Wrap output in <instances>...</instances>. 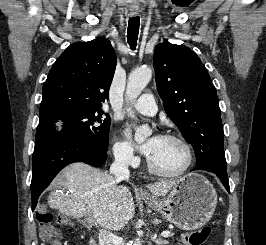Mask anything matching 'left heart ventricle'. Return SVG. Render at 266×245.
Masks as SVG:
<instances>
[{
    "mask_svg": "<svg viewBox=\"0 0 266 245\" xmlns=\"http://www.w3.org/2000/svg\"><path fill=\"white\" fill-rule=\"evenodd\" d=\"M149 160L153 167L160 172L176 173L185 165L186 151L181 143L160 137Z\"/></svg>",
    "mask_w": 266,
    "mask_h": 245,
    "instance_id": "1",
    "label": "left heart ventricle"
}]
</instances>
